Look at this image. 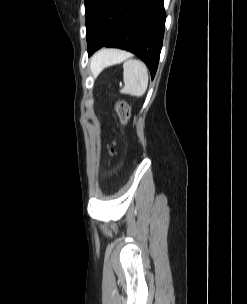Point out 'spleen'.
Listing matches in <instances>:
<instances>
[{"label":"spleen","mask_w":247,"mask_h":304,"mask_svg":"<svg viewBox=\"0 0 247 304\" xmlns=\"http://www.w3.org/2000/svg\"><path fill=\"white\" fill-rule=\"evenodd\" d=\"M123 61H125L123 64L124 87L120 92L136 97L142 96L146 92L148 86V70L142 61L128 59L126 53L120 52L116 55L108 56L101 68L115 65Z\"/></svg>","instance_id":"1"}]
</instances>
